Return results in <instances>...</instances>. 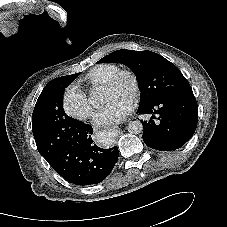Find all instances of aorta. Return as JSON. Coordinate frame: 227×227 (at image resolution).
Segmentation results:
<instances>
[{
  "label": "aorta",
  "instance_id": "obj_1",
  "mask_svg": "<svg viewBox=\"0 0 227 227\" xmlns=\"http://www.w3.org/2000/svg\"><path fill=\"white\" fill-rule=\"evenodd\" d=\"M127 129L131 134H140L143 131V125L139 120H135L129 122Z\"/></svg>",
  "mask_w": 227,
  "mask_h": 227
}]
</instances>
